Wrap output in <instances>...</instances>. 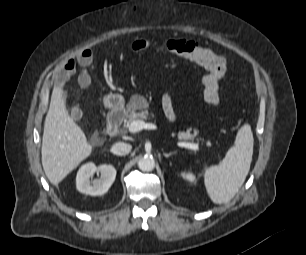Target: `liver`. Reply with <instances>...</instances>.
<instances>
[{
    "instance_id": "6515ba94",
    "label": "liver",
    "mask_w": 306,
    "mask_h": 255,
    "mask_svg": "<svg viewBox=\"0 0 306 255\" xmlns=\"http://www.w3.org/2000/svg\"><path fill=\"white\" fill-rule=\"evenodd\" d=\"M61 86L54 87L52 92L41 148L43 169L55 186L92 152L85 133L66 110Z\"/></svg>"
}]
</instances>
